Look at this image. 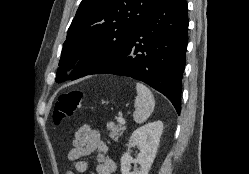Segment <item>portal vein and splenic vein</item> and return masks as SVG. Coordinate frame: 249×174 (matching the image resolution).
Returning <instances> with one entry per match:
<instances>
[{"instance_id":"18ae733b","label":"portal vein and splenic vein","mask_w":249,"mask_h":174,"mask_svg":"<svg viewBox=\"0 0 249 174\" xmlns=\"http://www.w3.org/2000/svg\"><path fill=\"white\" fill-rule=\"evenodd\" d=\"M118 122L120 124H125V119L123 117H118Z\"/></svg>"}]
</instances>
